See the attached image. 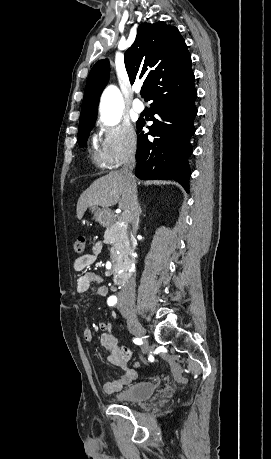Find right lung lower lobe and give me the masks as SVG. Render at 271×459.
<instances>
[{
  "label": "right lung lower lobe",
  "mask_w": 271,
  "mask_h": 459,
  "mask_svg": "<svg viewBox=\"0 0 271 459\" xmlns=\"http://www.w3.org/2000/svg\"><path fill=\"white\" fill-rule=\"evenodd\" d=\"M192 70L179 77H171L148 100H153L151 110L158 119L149 126V133L139 134L136 153V176L140 179H174L187 191L190 169L187 159L193 152L190 138L195 133L193 125L197 115ZM145 121H137L140 132ZM148 134L154 139H148Z\"/></svg>",
  "instance_id": "1"
}]
</instances>
